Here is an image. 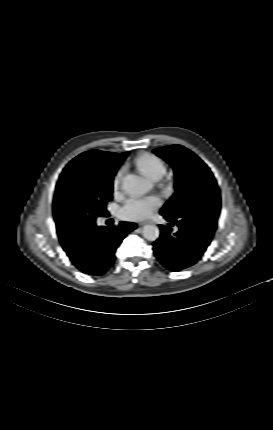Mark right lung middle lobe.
I'll use <instances>...</instances> for the list:
<instances>
[{"instance_id":"1","label":"right lung middle lobe","mask_w":273,"mask_h":430,"mask_svg":"<svg viewBox=\"0 0 273 430\" xmlns=\"http://www.w3.org/2000/svg\"><path fill=\"white\" fill-rule=\"evenodd\" d=\"M115 174L114 169L93 168L74 160L65 167L53 201L61 242L75 237L104 213L107 202L112 199Z\"/></svg>"}]
</instances>
